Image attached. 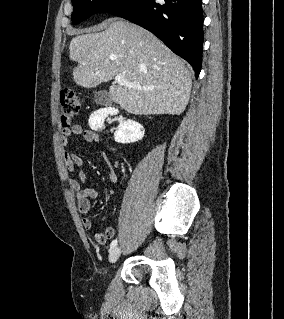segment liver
Here are the masks:
<instances>
[{"mask_svg": "<svg viewBox=\"0 0 284 319\" xmlns=\"http://www.w3.org/2000/svg\"><path fill=\"white\" fill-rule=\"evenodd\" d=\"M77 35L69 45L70 59L78 63L74 81L96 87L117 75L142 88L112 85L111 99L136 115L184 112L190 98L192 73L149 31L124 20L111 22L102 32Z\"/></svg>", "mask_w": 284, "mask_h": 319, "instance_id": "6515ba94", "label": "liver"}]
</instances>
